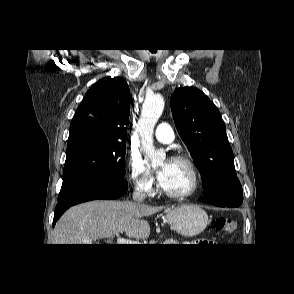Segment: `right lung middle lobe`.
<instances>
[{"instance_id": "obj_1", "label": "right lung middle lobe", "mask_w": 294, "mask_h": 294, "mask_svg": "<svg viewBox=\"0 0 294 294\" xmlns=\"http://www.w3.org/2000/svg\"><path fill=\"white\" fill-rule=\"evenodd\" d=\"M125 150L124 143L80 141L67 144L62 186L81 178L123 181Z\"/></svg>"}]
</instances>
